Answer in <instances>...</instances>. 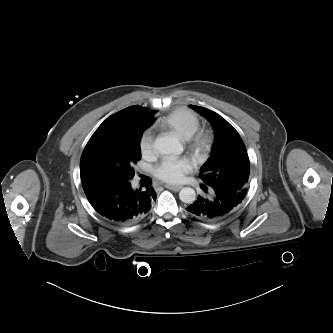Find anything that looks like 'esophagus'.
I'll return each mask as SVG.
<instances>
[{
	"instance_id": "esophagus-1",
	"label": "esophagus",
	"mask_w": 333,
	"mask_h": 333,
	"mask_svg": "<svg viewBox=\"0 0 333 333\" xmlns=\"http://www.w3.org/2000/svg\"><path fill=\"white\" fill-rule=\"evenodd\" d=\"M165 187L173 191H179L182 188L181 185H165Z\"/></svg>"
}]
</instances>
